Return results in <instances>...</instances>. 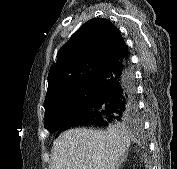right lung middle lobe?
<instances>
[{
    "label": "right lung middle lobe",
    "mask_w": 177,
    "mask_h": 169,
    "mask_svg": "<svg viewBox=\"0 0 177 169\" xmlns=\"http://www.w3.org/2000/svg\"><path fill=\"white\" fill-rule=\"evenodd\" d=\"M94 94L95 84L92 81L73 91L65 100L45 108V129L56 132L64 123L81 113L91 103Z\"/></svg>",
    "instance_id": "1"
}]
</instances>
